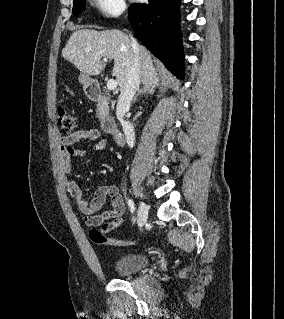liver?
<instances>
[{"label": "liver", "instance_id": "6515ba94", "mask_svg": "<svg viewBox=\"0 0 284 319\" xmlns=\"http://www.w3.org/2000/svg\"><path fill=\"white\" fill-rule=\"evenodd\" d=\"M62 56L87 76L99 75L105 68L103 60H114L112 76L121 89L125 83L134 52L129 37L119 30L97 31L79 29L69 38L62 49ZM140 81L149 88L158 84L157 72L150 52L139 46Z\"/></svg>", "mask_w": 284, "mask_h": 319}]
</instances>
